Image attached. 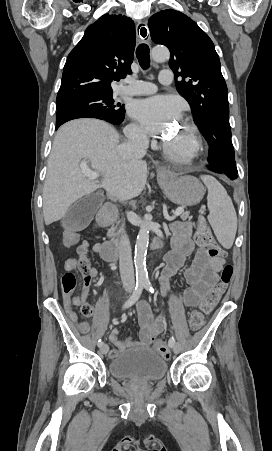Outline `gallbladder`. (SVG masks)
I'll use <instances>...</instances> for the list:
<instances>
[{
  "instance_id": "bac80fb5",
  "label": "gallbladder",
  "mask_w": 272,
  "mask_h": 451,
  "mask_svg": "<svg viewBox=\"0 0 272 451\" xmlns=\"http://www.w3.org/2000/svg\"><path fill=\"white\" fill-rule=\"evenodd\" d=\"M98 196L99 194H89L75 202L62 218V226L69 227L73 231L87 227L103 202L102 198H98Z\"/></svg>"
}]
</instances>
